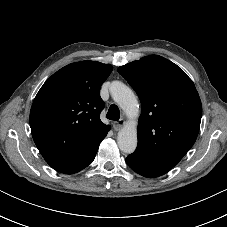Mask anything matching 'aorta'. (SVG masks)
I'll use <instances>...</instances> for the list:
<instances>
[{
	"instance_id": "obj_1",
	"label": "aorta",
	"mask_w": 227,
	"mask_h": 227,
	"mask_svg": "<svg viewBox=\"0 0 227 227\" xmlns=\"http://www.w3.org/2000/svg\"><path fill=\"white\" fill-rule=\"evenodd\" d=\"M110 93L114 101L126 113L131 120L125 125L117 136L119 149L126 153H133L137 147V125L135 119L139 114V104L136 95L131 88L119 81L112 82Z\"/></svg>"
}]
</instances>
